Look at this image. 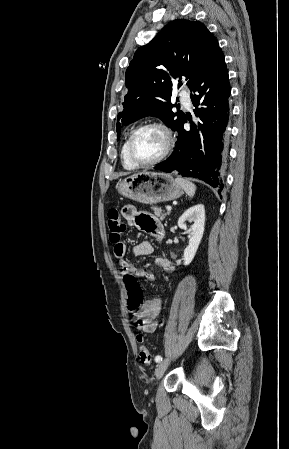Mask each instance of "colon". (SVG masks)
Masks as SVG:
<instances>
[{"label": "colon", "mask_w": 289, "mask_h": 449, "mask_svg": "<svg viewBox=\"0 0 289 449\" xmlns=\"http://www.w3.org/2000/svg\"><path fill=\"white\" fill-rule=\"evenodd\" d=\"M108 228H109L110 241L115 244H118L125 233L126 224L122 219L120 212L115 208L110 209L108 212ZM125 284L129 294L128 300L129 308L134 314H136L139 311V308L142 304L143 298L142 290L136 279L133 277H126ZM136 339L137 342L139 343L138 349L139 360L143 364L150 363L151 355L148 348L143 344L144 342L143 336L139 334L137 335Z\"/></svg>", "instance_id": "1"}]
</instances>
